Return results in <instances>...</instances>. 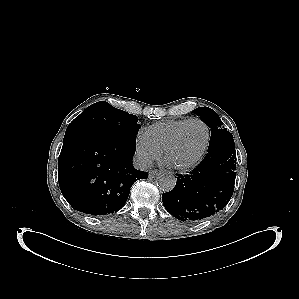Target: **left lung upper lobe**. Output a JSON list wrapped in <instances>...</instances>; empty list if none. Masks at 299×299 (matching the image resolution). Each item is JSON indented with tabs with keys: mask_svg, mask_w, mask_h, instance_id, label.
Returning a JSON list of instances; mask_svg holds the SVG:
<instances>
[{
	"mask_svg": "<svg viewBox=\"0 0 299 299\" xmlns=\"http://www.w3.org/2000/svg\"><path fill=\"white\" fill-rule=\"evenodd\" d=\"M200 119L212 128L211 138L208 147V153L215 151L223 146L234 147V140L231 133L226 129H221V122L217 113L208 107H199L193 111Z\"/></svg>",
	"mask_w": 299,
	"mask_h": 299,
	"instance_id": "1",
	"label": "left lung upper lobe"
}]
</instances>
